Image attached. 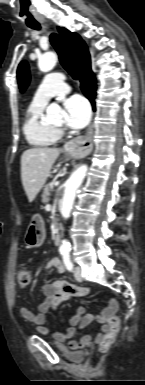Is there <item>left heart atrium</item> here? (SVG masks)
<instances>
[{
	"label": "left heart atrium",
	"mask_w": 145,
	"mask_h": 385,
	"mask_svg": "<svg viewBox=\"0 0 145 385\" xmlns=\"http://www.w3.org/2000/svg\"><path fill=\"white\" fill-rule=\"evenodd\" d=\"M66 124L73 129L85 127L91 116L90 106L85 98L73 95L64 100Z\"/></svg>",
	"instance_id": "39dd6f15"
}]
</instances>
